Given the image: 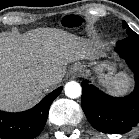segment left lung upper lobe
<instances>
[{"mask_svg": "<svg viewBox=\"0 0 139 139\" xmlns=\"http://www.w3.org/2000/svg\"><path fill=\"white\" fill-rule=\"evenodd\" d=\"M123 28L126 29V33H127L128 36L135 33L133 30H131L129 28V26L127 25V23L125 21H123Z\"/></svg>", "mask_w": 139, "mask_h": 139, "instance_id": "obj_1", "label": "left lung upper lobe"}]
</instances>
